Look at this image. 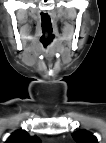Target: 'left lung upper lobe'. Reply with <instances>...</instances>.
Masks as SVG:
<instances>
[{
  "instance_id": "obj_1",
  "label": "left lung upper lobe",
  "mask_w": 106,
  "mask_h": 143,
  "mask_svg": "<svg viewBox=\"0 0 106 143\" xmlns=\"http://www.w3.org/2000/svg\"><path fill=\"white\" fill-rule=\"evenodd\" d=\"M72 137L77 143H98L97 138L86 130H78L72 133Z\"/></svg>"
}]
</instances>
